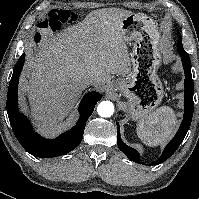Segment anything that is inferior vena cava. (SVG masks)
Segmentation results:
<instances>
[{
	"mask_svg": "<svg viewBox=\"0 0 199 199\" xmlns=\"http://www.w3.org/2000/svg\"><path fill=\"white\" fill-rule=\"evenodd\" d=\"M96 83V79L91 77V78H87L86 80H84V84L85 86H89V85H92V84H95Z\"/></svg>",
	"mask_w": 199,
	"mask_h": 199,
	"instance_id": "inferior-vena-cava-1",
	"label": "inferior vena cava"
}]
</instances>
